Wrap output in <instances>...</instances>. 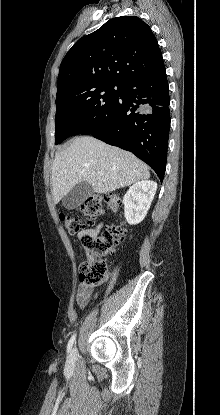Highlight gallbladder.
<instances>
[{"label":"gallbladder","instance_id":"1","mask_svg":"<svg viewBox=\"0 0 220 415\" xmlns=\"http://www.w3.org/2000/svg\"><path fill=\"white\" fill-rule=\"evenodd\" d=\"M93 193L94 189L88 182H80L63 198L62 204L68 210L78 208Z\"/></svg>","mask_w":220,"mask_h":415}]
</instances>
